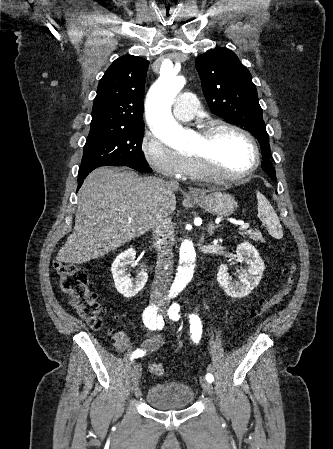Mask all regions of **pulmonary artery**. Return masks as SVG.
<instances>
[{
    "label": "pulmonary artery",
    "mask_w": 333,
    "mask_h": 449,
    "mask_svg": "<svg viewBox=\"0 0 333 449\" xmlns=\"http://www.w3.org/2000/svg\"><path fill=\"white\" fill-rule=\"evenodd\" d=\"M197 112V98L193 93L180 94L173 106V114L180 121L191 120Z\"/></svg>",
    "instance_id": "obj_1"
}]
</instances>
